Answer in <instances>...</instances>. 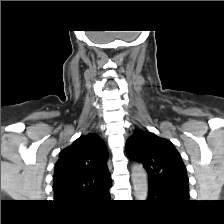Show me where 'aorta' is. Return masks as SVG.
<instances>
[{
  "instance_id": "1",
  "label": "aorta",
  "mask_w": 224,
  "mask_h": 224,
  "mask_svg": "<svg viewBox=\"0 0 224 224\" xmlns=\"http://www.w3.org/2000/svg\"><path fill=\"white\" fill-rule=\"evenodd\" d=\"M132 183L137 200H145L148 196L147 174L141 164L132 166Z\"/></svg>"
}]
</instances>
